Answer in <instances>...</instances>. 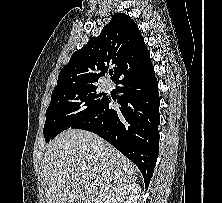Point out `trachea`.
I'll return each instance as SVG.
<instances>
[{
  "label": "trachea",
  "instance_id": "1",
  "mask_svg": "<svg viewBox=\"0 0 222 203\" xmlns=\"http://www.w3.org/2000/svg\"><path fill=\"white\" fill-rule=\"evenodd\" d=\"M109 74H110V75H112V74H113V72H109Z\"/></svg>",
  "mask_w": 222,
  "mask_h": 203
}]
</instances>
